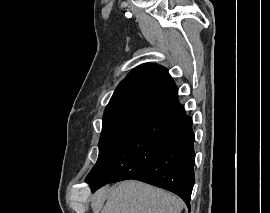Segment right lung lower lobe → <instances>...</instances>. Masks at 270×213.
I'll return each mask as SVG.
<instances>
[{
    "instance_id": "right-lung-lower-lobe-1",
    "label": "right lung lower lobe",
    "mask_w": 270,
    "mask_h": 213,
    "mask_svg": "<svg viewBox=\"0 0 270 213\" xmlns=\"http://www.w3.org/2000/svg\"><path fill=\"white\" fill-rule=\"evenodd\" d=\"M194 162L192 118L175 96L156 105L105 168L86 182L94 191L107 183L139 180L179 195L190 209Z\"/></svg>"
}]
</instances>
